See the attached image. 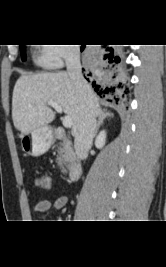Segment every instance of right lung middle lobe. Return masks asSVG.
<instances>
[{"mask_svg": "<svg viewBox=\"0 0 166 267\" xmlns=\"http://www.w3.org/2000/svg\"><path fill=\"white\" fill-rule=\"evenodd\" d=\"M20 51H21V58L24 61L26 59V53H25L24 45H20Z\"/></svg>", "mask_w": 166, "mask_h": 267, "instance_id": "right-lung-middle-lobe-1", "label": "right lung middle lobe"}]
</instances>
